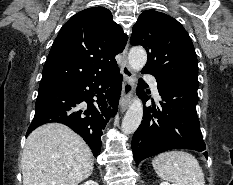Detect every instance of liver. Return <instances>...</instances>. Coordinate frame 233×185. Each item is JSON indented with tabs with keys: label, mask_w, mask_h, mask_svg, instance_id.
<instances>
[{
	"label": "liver",
	"mask_w": 233,
	"mask_h": 185,
	"mask_svg": "<svg viewBox=\"0 0 233 185\" xmlns=\"http://www.w3.org/2000/svg\"><path fill=\"white\" fill-rule=\"evenodd\" d=\"M91 149L63 124L48 123L27 138L21 158L23 185H78L93 172Z\"/></svg>",
	"instance_id": "6515ba94"
}]
</instances>
